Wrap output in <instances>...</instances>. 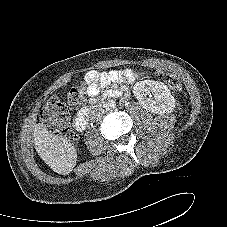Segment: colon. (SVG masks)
I'll list each match as a JSON object with an SVG mask.
<instances>
[{"label": "colon", "mask_w": 227, "mask_h": 227, "mask_svg": "<svg viewBox=\"0 0 227 227\" xmlns=\"http://www.w3.org/2000/svg\"><path fill=\"white\" fill-rule=\"evenodd\" d=\"M157 75L164 80L171 90L175 92L181 90V82L176 75L161 70L157 71ZM85 83V81H82L69 90L67 99L70 103L79 105L84 102L88 95ZM41 117L51 134L63 137L71 142L76 141V135L69 125L67 108L59 98L51 97L46 102L41 111Z\"/></svg>", "instance_id": "colon-1"}]
</instances>
